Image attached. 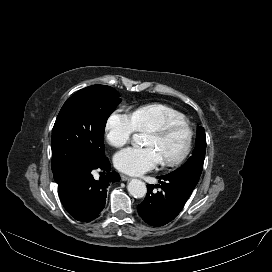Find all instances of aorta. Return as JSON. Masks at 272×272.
<instances>
[{
  "label": "aorta",
  "instance_id": "1",
  "mask_svg": "<svg viewBox=\"0 0 272 272\" xmlns=\"http://www.w3.org/2000/svg\"><path fill=\"white\" fill-rule=\"evenodd\" d=\"M132 139L137 144H140L141 142V136L138 134H134ZM127 189L129 194L135 198H143L147 193L145 183L139 179L130 180V182L127 185Z\"/></svg>",
  "mask_w": 272,
  "mask_h": 272
}]
</instances>
